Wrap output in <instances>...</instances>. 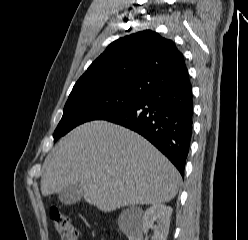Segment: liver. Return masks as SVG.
<instances>
[{"instance_id":"liver-1","label":"liver","mask_w":248,"mask_h":240,"mask_svg":"<svg viewBox=\"0 0 248 240\" xmlns=\"http://www.w3.org/2000/svg\"><path fill=\"white\" fill-rule=\"evenodd\" d=\"M180 182L177 169L146 139L97 120L76 127L54 147L45 162L41 192L48 196L79 184L87 203L110 212L167 203Z\"/></svg>"}]
</instances>
